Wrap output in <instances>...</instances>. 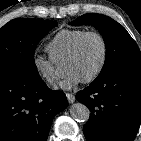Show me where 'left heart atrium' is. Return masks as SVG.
Here are the masks:
<instances>
[{
    "instance_id": "left-heart-atrium-1",
    "label": "left heart atrium",
    "mask_w": 141,
    "mask_h": 141,
    "mask_svg": "<svg viewBox=\"0 0 141 141\" xmlns=\"http://www.w3.org/2000/svg\"><path fill=\"white\" fill-rule=\"evenodd\" d=\"M83 79L73 71L67 73L66 77L60 83V88L65 90H70L81 83Z\"/></svg>"
}]
</instances>
